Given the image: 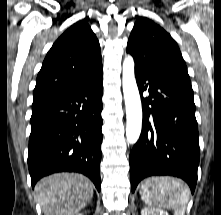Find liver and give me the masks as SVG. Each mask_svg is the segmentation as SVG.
Segmentation results:
<instances>
[{
	"label": "liver",
	"mask_w": 221,
	"mask_h": 215,
	"mask_svg": "<svg viewBox=\"0 0 221 215\" xmlns=\"http://www.w3.org/2000/svg\"><path fill=\"white\" fill-rule=\"evenodd\" d=\"M44 215H76L93 198V184L82 174L57 173L35 186Z\"/></svg>",
	"instance_id": "obj_1"
}]
</instances>
